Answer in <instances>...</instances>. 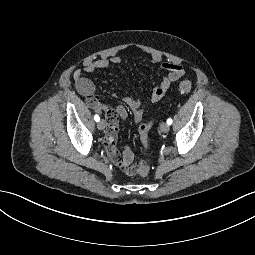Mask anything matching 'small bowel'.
<instances>
[{"instance_id": "obj_1", "label": "small bowel", "mask_w": 255, "mask_h": 255, "mask_svg": "<svg viewBox=\"0 0 255 255\" xmlns=\"http://www.w3.org/2000/svg\"><path fill=\"white\" fill-rule=\"evenodd\" d=\"M121 58L118 56L100 57L84 63V70L93 72L98 69L108 68L110 65L121 64ZM150 62L160 64L164 71V76L161 82L153 89L151 94V102H159L168 92L173 83L182 77L184 70L181 65L171 61H162L161 57H152ZM73 78L76 89L85 98L86 103L94 110L102 111L107 119V131L105 137V148L110 160L119 168L120 171L127 175H133L138 170L132 166L133 153L129 147H125L121 154L116 147L118 133V119L126 120L128 117V108L131 110L133 119L137 122L141 121L145 107L140 99L133 97H124V104L113 108L110 104L101 101L95 94V85L87 77L82 75L80 69L73 72Z\"/></svg>"}]
</instances>
